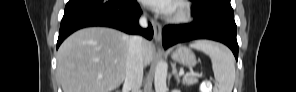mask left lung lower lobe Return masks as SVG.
<instances>
[{
  "mask_svg": "<svg viewBox=\"0 0 296 92\" xmlns=\"http://www.w3.org/2000/svg\"><path fill=\"white\" fill-rule=\"evenodd\" d=\"M195 20L189 24L168 25L162 32L163 46L168 48L176 43L194 39H211L227 45L238 59L236 24L232 7H215L199 11L192 8Z\"/></svg>",
  "mask_w": 296,
  "mask_h": 92,
  "instance_id": "obj_1",
  "label": "left lung lower lobe"
}]
</instances>
